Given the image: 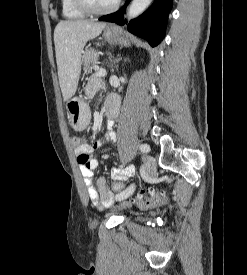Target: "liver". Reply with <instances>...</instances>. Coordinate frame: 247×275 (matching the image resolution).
Wrapping results in <instances>:
<instances>
[{"mask_svg":"<svg viewBox=\"0 0 247 275\" xmlns=\"http://www.w3.org/2000/svg\"><path fill=\"white\" fill-rule=\"evenodd\" d=\"M105 27L106 23L85 20L61 21L55 27L58 77L65 102L76 92L84 46L88 40L99 36Z\"/></svg>","mask_w":247,"mask_h":275,"instance_id":"6515ba94","label":"liver"}]
</instances>
